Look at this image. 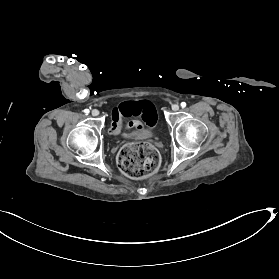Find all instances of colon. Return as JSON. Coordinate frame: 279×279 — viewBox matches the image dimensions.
I'll list each match as a JSON object with an SVG mask.
<instances>
[{
    "label": "colon",
    "instance_id": "colon-1",
    "mask_svg": "<svg viewBox=\"0 0 279 279\" xmlns=\"http://www.w3.org/2000/svg\"><path fill=\"white\" fill-rule=\"evenodd\" d=\"M160 163L158 152L146 142L125 145L118 154V165L126 176L134 179L154 173Z\"/></svg>",
    "mask_w": 279,
    "mask_h": 279
}]
</instances>
